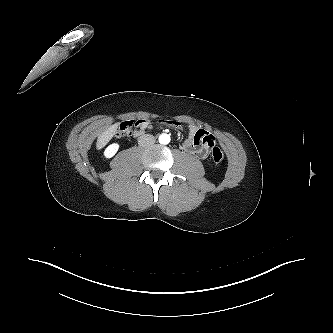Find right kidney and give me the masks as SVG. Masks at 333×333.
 <instances>
[{
    "mask_svg": "<svg viewBox=\"0 0 333 333\" xmlns=\"http://www.w3.org/2000/svg\"><path fill=\"white\" fill-rule=\"evenodd\" d=\"M118 149H119V145L117 143H113V144L109 145L105 149L104 156L106 158H111V157H113L116 154V152L118 151Z\"/></svg>",
    "mask_w": 333,
    "mask_h": 333,
    "instance_id": "ca27d5eb",
    "label": "right kidney"
}]
</instances>
